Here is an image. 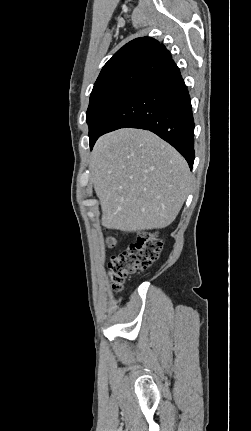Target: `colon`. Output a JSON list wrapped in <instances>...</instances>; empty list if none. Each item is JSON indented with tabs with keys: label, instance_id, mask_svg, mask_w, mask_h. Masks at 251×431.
<instances>
[{
	"label": "colon",
	"instance_id": "5ec220e1",
	"mask_svg": "<svg viewBox=\"0 0 251 431\" xmlns=\"http://www.w3.org/2000/svg\"><path fill=\"white\" fill-rule=\"evenodd\" d=\"M116 240V237L109 236L107 244L113 246ZM162 247L163 243L157 234L147 232L140 235L136 242L123 252L113 256L108 264L112 288L120 290L128 276L150 267L159 258Z\"/></svg>",
	"mask_w": 251,
	"mask_h": 431
}]
</instances>
